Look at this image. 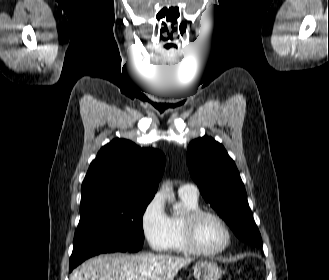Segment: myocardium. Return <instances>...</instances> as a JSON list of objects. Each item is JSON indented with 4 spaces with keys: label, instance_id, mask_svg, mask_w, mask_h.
I'll list each match as a JSON object with an SVG mask.
<instances>
[{
    "label": "myocardium",
    "instance_id": "obj_1",
    "mask_svg": "<svg viewBox=\"0 0 329 280\" xmlns=\"http://www.w3.org/2000/svg\"><path fill=\"white\" fill-rule=\"evenodd\" d=\"M203 217H212L217 220L226 233V240L225 243L218 249L213 251H208L203 249L197 241L196 237V229L199 220ZM182 232H183V239L184 243L189 252L204 256V257H214L224 253L231 245L233 234L232 231L226 222V220L217 212L208 210V209H195L185 213L182 222Z\"/></svg>",
    "mask_w": 329,
    "mask_h": 280
}]
</instances>
